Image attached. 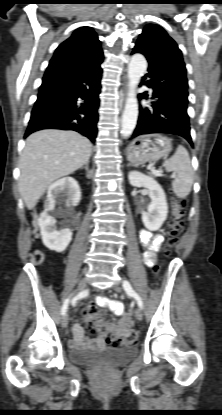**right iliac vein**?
<instances>
[{
    "mask_svg": "<svg viewBox=\"0 0 222 415\" xmlns=\"http://www.w3.org/2000/svg\"><path fill=\"white\" fill-rule=\"evenodd\" d=\"M87 287V279H85V278H83V279H81V281L79 282V284H78V286H77V288H76V290H75V292H74V295H76V294H78V293H80V292H82L85 288ZM67 325H68V316H67V314L63 317V319H62V327H67Z\"/></svg>",
    "mask_w": 222,
    "mask_h": 415,
    "instance_id": "right-iliac-vein-1",
    "label": "right iliac vein"
}]
</instances>
